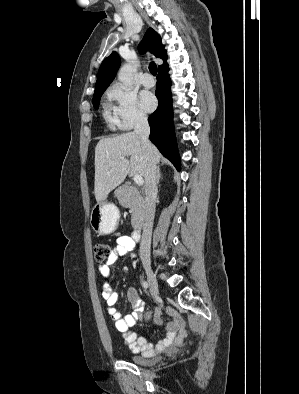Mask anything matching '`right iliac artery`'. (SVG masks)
Wrapping results in <instances>:
<instances>
[{
	"mask_svg": "<svg viewBox=\"0 0 299 394\" xmlns=\"http://www.w3.org/2000/svg\"><path fill=\"white\" fill-rule=\"evenodd\" d=\"M142 286L146 290L148 288V283L146 281H143Z\"/></svg>",
	"mask_w": 299,
	"mask_h": 394,
	"instance_id": "right-iliac-artery-1",
	"label": "right iliac artery"
}]
</instances>
